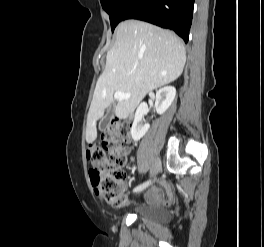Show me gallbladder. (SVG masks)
I'll use <instances>...</instances> for the list:
<instances>
[{"label":"gallbladder","instance_id":"obj_1","mask_svg":"<svg viewBox=\"0 0 264 247\" xmlns=\"http://www.w3.org/2000/svg\"><path fill=\"white\" fill-rule=\"evenodd\" d=\"M113 110L114 109H109V111L106 113L105 118L100 122L99 128L101 129V131H104V129L107 128V126L110 124V118H113L112 115L115 113Z\"/></svg>","mask_w":264,"mask_h":247}]
</instances>
